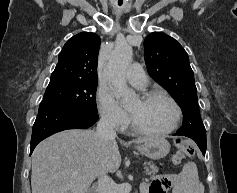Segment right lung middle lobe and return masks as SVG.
<instances>
[{
  "label": "right lung middle lobe",
  "instance_id": "right-lung-middle-lobe-1",
  "mask_svg": "<svg viewBox=\"0 0 237 193\" xmlns=\"http://www.w3.org/2000/svg\"><path fill=\"white\" fill-rule=\"evenodd\" d=\"M96 88L97 80H82L51 75L50 83L41 104L96 115Z\"/></svg>",
  "mask_w": 237,
  "mask_h": 193
}]
</instances>
